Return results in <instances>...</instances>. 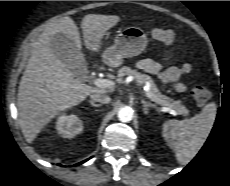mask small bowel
<instances>
[{"label": "small bowel", "instance_id": "c3829d8e", "mask_svg": "<svg viewBox=\"0 0 230 186\" xmlns=\"http://www.w3.org/2000/svg\"><path fill=\"white\" fill-rule=\"evenodd\" d=\"M137 66L145 72L156 74L164 83H172L177 91L185 90V85L179 81V78L181 75L189 73L192 69L189 63H185L181 67L171 66L163 69L159 63L150 59L139 61Z\"/></svg>", "mask_w": 230, "mask_h": 186}]
</instances>
